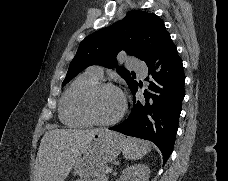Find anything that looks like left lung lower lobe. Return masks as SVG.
<instances>
[{
    "label": "left lung lower lobe",
    "mask_w": 228,
    "mask_h": 181,
    "mask_svg": "<svg viewBox=\"0 0 228 181\" xmlns=\"http://www.w3.org/2000/svg\"><path fill=\"white\" fill-rule=\"evenodd\" d=\"M146 62L149 74L157 84L150 82L144 90V98L135 97L138 82L130 88L134 103L128 118L122 123L110 127V130L125 135L150 140L155 143L163 155V163L172 152L178 129L181 104L184 98L185 76L182 61L171 38L165 39ZM158 59L161 71L155 73L154 61ZM149 77L146 78L148 81Z\"/></svg>",
    "instance_id": "obj_1"
}]
</instances>
